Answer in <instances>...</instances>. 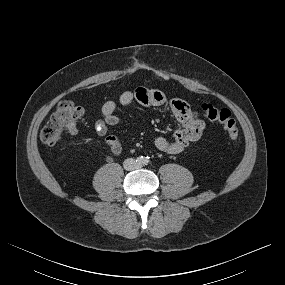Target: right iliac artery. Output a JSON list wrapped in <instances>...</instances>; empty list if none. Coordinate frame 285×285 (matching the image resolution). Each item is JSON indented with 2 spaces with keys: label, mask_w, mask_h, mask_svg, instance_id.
<instances>
[{
  "label": "right iliac artery",
  "mask_w": 285,
  "mask_h": 285,
  "mask_svg": "<svg viewBox=\"0 0 285 285\" xmlns=\"http://www.w3.org/2000/svg\"><path fill=\"white\" fill-rule=\"evenodd\" d=\"M136 162H137L138 164L143 163V158H142V157H138V158L136 159Z\"/></svg>",
  "instance_id": "82829eb1"
}]
</instances>
